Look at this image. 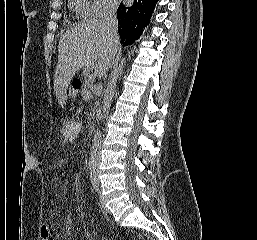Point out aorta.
I'll return each mask as SVG.
<instances>
[{"label":"aorta","instance_id":"1","mask_svg":"<svg viewBox=\"0 0 257 240\" xmlns=\"http://www.w3.org/2000/svg\"><path fill=\"white\" fill-rule=\"evenodd\" d=\"M125 65V57H123L119 63V66L117 67V71L115 72L111 86L115 88L118 80H120L123 68ZM101 143H102V132L100 130H97L96 134L94 135L91 152H90V158H89V171H90V178L92 181H97L99 176V166L101 162Z\"/></svg>","mask_w":257,"mask_h":240}]
</instances>
